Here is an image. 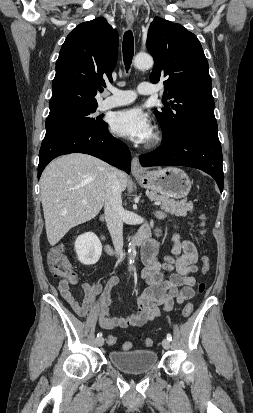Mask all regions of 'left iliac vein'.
Returning a JSON list of instances; mask_svg holds the SVG:
<instances>
[{
    "label": "left iliac vein",
    "instance_id": "obj_1",
    "mask_svg": "<svg viewBox=\"0 0 253 413\" xmlns=\"http://www.w3.org/2000/svg\"><path fill=\"white\" fill-rule=\"evenodd\" d=\"M162 346L164 349L168 350L170 348V341L168 339H163Z\"/></svg>",
    "mask_w": 253,
    "mask_h": 413
}]
</instances>
